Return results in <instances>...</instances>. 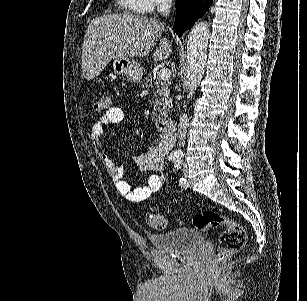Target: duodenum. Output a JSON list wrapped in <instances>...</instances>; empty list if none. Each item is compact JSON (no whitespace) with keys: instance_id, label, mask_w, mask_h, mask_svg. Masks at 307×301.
Here are the masks:
<instances>
[{"instance_id":"obj_1","label":"duodenum","mask_w":307,"mask_h":301,"mask_svg":"<svg viewBox=\"0 0 307 301\" xmlns=\"http://www.w3.org/2000/svg\"><path fill=\"white\" fill-rule=\"evenodd\" d=\"M157 127L160 131L171 134L177 128V122L174 118L163 117L158 119Z\"/></svg>"}]
</instances>
